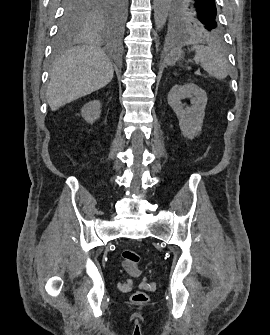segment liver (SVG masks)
I'll list each match as a JSON object with an SVG mask.
<instances>
[{
  "instance_id": "obj_1",
  "label": "liver",
  "mask_w": 270,
  "mask_h": 335,
  "mask_svg": "<svg viewBox=\"0 0 270 335\" xmlns=\"http://www.w3.org/2000/svg\"><path fill=\"white\" fill-rule=\"evenodd\" d=\"M113 74V66L100 46L89 44L71 48L57 58L51 70L46 96L52 112L104 88Z\"/></svg>"
}]
</instances>
